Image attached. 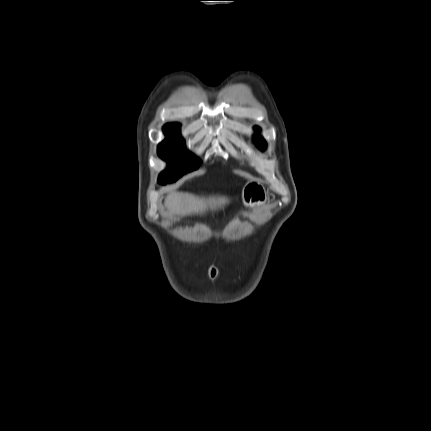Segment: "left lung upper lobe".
<instances>
[{"label":"left lung upper lobe","mask_w":431,"mask_h":431,"mask_svg":"<svg viewBox=\"0 0 431 431\" xmlns=\"http://www.w3.org/2000/svg\"><path fill=\"white\" fill-rule=\"evenodd\" d=\"M254 128L255 130H259L258 127H254ZM254 142L259 149L265 150L267 144H266V141L261 136L257 135L254 139Z\"/></svg>","instance_id":"obj_1"}]
</instances>
